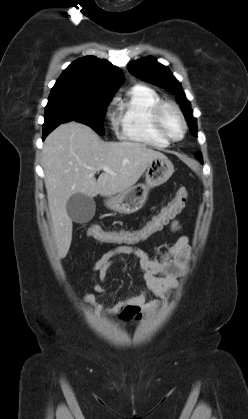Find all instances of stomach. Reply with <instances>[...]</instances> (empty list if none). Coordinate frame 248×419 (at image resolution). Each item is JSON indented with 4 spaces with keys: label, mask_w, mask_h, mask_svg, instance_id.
Returning a JSON list of instances; mask_svg holds the SVG:
<instances>
[{
    "label": "stomach",
    "mask_w": 248,
    "mask_h": 419,
    "mask_svg": "<svg viewBox=\"0 0 248 419\" xmlns=\"http://www.w3.org/2000/svg\"><path fill=\"white\" fill-rule=\"evenodd\" d=\"M173 172L174 166L167 157L154 158L147 167L145 183L137 184L110 197L106 201V206L121 214L137 212L147 201L149 190L165 183Z\"/></svg>",
    "instance_id": "0dacf381"
}]
</instances>
